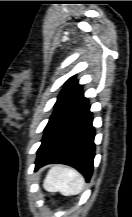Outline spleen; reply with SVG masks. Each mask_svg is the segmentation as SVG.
I'll return each instance as SVG.
<instances>
[{
	"label": "spleen",
	"mask_w": 132,
	"mask_h": 217,
	"mask_svg": "<svg viewBox=\"0 0 132 217\" xmlns=\"http://www.w3.org/2000/svg\"><path fill=\"white\" fill-rule=\"evenodd\" d=\"M84 184V177L78 171L62 165L53 166L44 181L48 191L60 192L64 196L79 194Z\"/></svg>",
	"instance_id": "3e777b00"
}]
</instances>
